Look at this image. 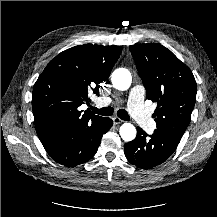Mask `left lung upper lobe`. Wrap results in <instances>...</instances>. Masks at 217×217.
Wrapping results in <instances>:
<instances>
[{
	"label": "left lung upper lobe",
	"instance_id": "left-lung-upper-lobe-1",
	"mask_svg": "<svg viewBox=\"0 0 217 217\" xmlns=\"http://www.w3.org/2000/svg\"><path fill=\"white\" fill-rule=\"evenodd\" d=\"M129 48L147 98L157 103L153 114L157 129L181 139L196 102V81L192 72L160 44H135Z\"/></svg>",
	"mask_w": 217,
	"mask_h": 217
}]
</instances>
